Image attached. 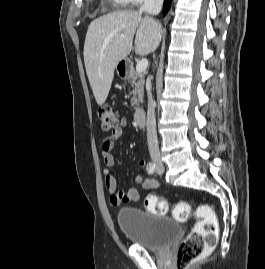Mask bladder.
<instances>
[{
	"mask_svg": "<svg viewBox=\"0 0 265 269\" xmlns=\"http://www.w3.org/2000/svg\"><path fill=\"white\" fill-rule=\"evenodd\" d=\"M117 223L131 243L153 251L168 248L181 233L179 223L169 217L151 215L135 207L120 209Z\"/></svg>",
	"mask_w": 265,
	"mask_h": 269,
	"instance_id": "bladder-1",
	"label": "bladder"
}]
</instances>
